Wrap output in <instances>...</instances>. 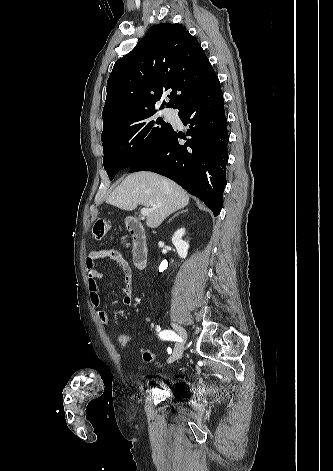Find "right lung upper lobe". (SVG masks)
Returning <instances> with one entry per match:
<instances>
[{
  "instance_id": "right-lung-upper-lobe-1",
  "label": "right lung upper lobe",
  "mask_w": 333,
  "mask_h": 471,
  "mask_svg": "<svg viewBox=\"0 0 333 471\" xmlns=\"http://www.w3.org/2000/svg\"><path fill=\"white\" fill-rule=\"evenodd\" d=\"M198 41L180 24L152 26L135 48L116 61L107 81L103 131L140 112L152 110L163 93L176 108L214 74Z\"/></svg>"
}]
</instances>
